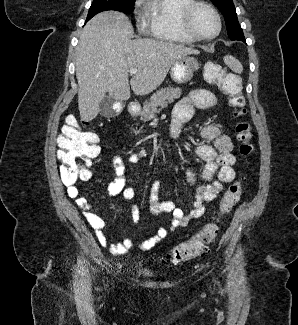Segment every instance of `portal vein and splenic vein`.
Listing matches in <instances>:
<instances>
[{
    "label": "portal vein and splenic vein",
    "mask_w": 298,
    "mask_h": 325,
    "mask_svg": "<svg viewBox=\"0 0 298 325\" xmlns=\"http://www.w3.org/2000/svg\"><path fill=\"white\" fill-rule=\"evenodd\" d=\"M129 72L130 74H135V72H137V68H130Z\"/></svg>",
    "instance_id": "18ae733b"
}]
</instances>
